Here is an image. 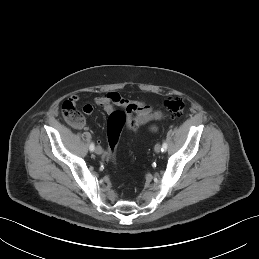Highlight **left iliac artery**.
Listing matches in <instances>:
<instances>
[{
  "instance_id": "obj_1",
  "label": "left iliac artery",
  "mask_w": 259,
  "mask_h": 259,
  "mask_svg": "<svg viewBox=\"0 0 259 259\" xmlns=\"http://www.w3.org/2000/svg\"><path fill=\"white\" fill-rule=\"evenodd\" d=\"M166 150H167V143L164 141L163 144H162L161 151L165 152Z\"/></svg>"
}]
</instances>
